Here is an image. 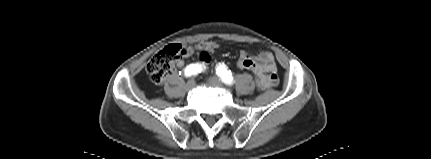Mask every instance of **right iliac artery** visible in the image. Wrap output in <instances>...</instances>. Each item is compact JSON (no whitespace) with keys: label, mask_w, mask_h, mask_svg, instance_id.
<instances>
[{"label":"right iliac artery","mask_w":431,"mask_h":159,"mask_svg":"<svg viewBox=\"0 0 431 159\" xmlns=\"http://www.w3.org/2000/svg\"><path fill=\"white\" fill-rule=\"evenodd\" d=\"M203 70L202 65L200 64H190L189 66H187L185 68V76L186 77H190L193 75H197L198 73H200Z\"/></svg>","instance_id":"82829eb1"}]
</instances>
